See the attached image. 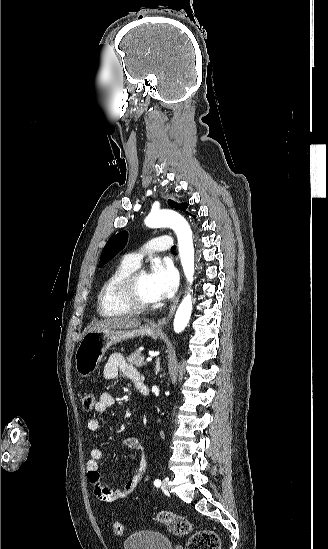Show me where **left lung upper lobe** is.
Wrapping results in <instances>:
<instances>
[{
	"mask_svg": "<svg viewBox=\"0 0 328 549\" xmlns=\"http://www.w3.org/2000/svg\"><path fill=\"white\" fill-rule=\"evenodd\" d=\"M168 204L170 207L175 208L177 210L184 211L187 207V203H177L173 200H168ZM187 214L191 215L190 213L186 212ZM193 216V215H192ZM195 217V216H193ZM127 234L125 231H121L115 236H113L105 245L101 258H100V266H103L107 262H109L113 257H115L126 245L127 242Z\"/></svg>",
	"mask_w": 328,
	"mask_h": 549,
	"instance_id": "obj_1",
	"label": "left lung upper lobe"
}]
</instances>
